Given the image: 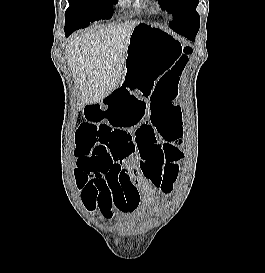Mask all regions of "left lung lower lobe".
Returning <instances> with one entry per match:
<instances>
[{
    "instance_id": "1",
    "label": "left lung lower lobe",
    "mask_w": 265,
    "mask_h": 273,
    "mask_svg": "<svg viewBox=\"0 0 265 273\" xmlns=\"http://www.w3.org/2000/svg\"><path fill=\"white\" fill-rule=\"evenodd\" d=\"M187 21H188L187 23H183L179 26H171V28L175 32L187 37L189 40L194 41L195 36L199 30V22L197 19L193 18Z\"/></svg>"
}]
</instances>
